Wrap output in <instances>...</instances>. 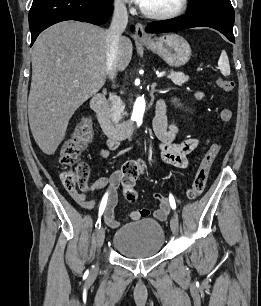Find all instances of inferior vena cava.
I'll return each mask as SVG.
<instances>
[{
    "label": "inferior vena cava",
    "mask_w": 261,
    "mask_h": 306,
    "mask_svg": "<svg viewBox=\"0 0 261 306\" xmlns=\"http://www.w3.org/2000/svg\"><path fill=\"white\" fill-rule=\"evenodd\" d=\"M128 23V14L125 4L116 0L114 12L109 29L106 31V71L109 78L114 81L117 75L116 58L119 50V41Z\"/></svg>",
    "instance_id": "inferior-vena-cava-1"
}]
</instances>
